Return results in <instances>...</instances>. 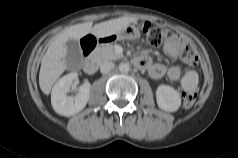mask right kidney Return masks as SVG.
<instances>
[{"label": "right kidney", "mask_w": 238, "mask_h": 158, "mask_svg": "<svg viewBox=\"0 0 238 158\" xmlns=\"http://www.w3.org/2000/svg\"><path fill=\"white\" fill-rule=\"evenodd\" d=\"M77 78V73L72 72L63 76L53 87L51 94V103L53 109L62 116H72L80 112L86 106L91 85L85 82L79 87V91L75 97L67 96L73 81Z\"/></svg>", "instance_id": "1"}]
</instances>
